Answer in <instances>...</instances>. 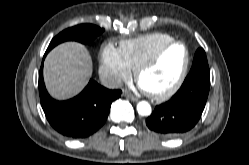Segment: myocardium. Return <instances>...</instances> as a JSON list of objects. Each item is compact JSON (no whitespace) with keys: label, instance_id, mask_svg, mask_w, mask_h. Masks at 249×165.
<instances>
[{"label":"myocardium","instance_id":"1","mask_svg":"<svg viewBox=\"0 0 249 165\" xmlns=\"http://www.w3.org/2000/svg\"><path fill=\"white\" fill-rule=\"evenodd\" d=\"M174 45H181L184 47L185 49V60H184V64L182 66V69L176 79V81L174 82V84L169 87L168 89L162 91V92H151V91H147V94L153 98L154 100H158V101H162L165 100L169 97H171L173 94H175L179 88L181 87L188 69H189V64H190V52H189V48L188 46L180 40H172L170 42H168L167 44H164L163 46H161L151 57H149L148 59L144 60L143 62H141L136 69L134 70V77L136 79V81L139 80L140 75L147 69H149L151 66H153L155 63L158 62V60L163 56V54L172 46Z\"/></svg>","mask_w":249,"mask_h":165}]
</instances>
